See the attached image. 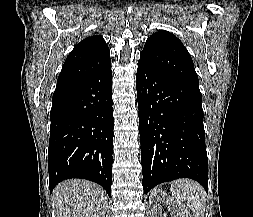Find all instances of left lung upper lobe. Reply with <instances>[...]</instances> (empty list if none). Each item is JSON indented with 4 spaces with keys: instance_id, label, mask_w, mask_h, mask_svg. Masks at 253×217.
Here are the masks:
<instances>
[{
    "instance_id": "left-lung-upper-lobe-1",
    "label": "left lung upper lobe",
    "mask_w": 253,
    "mask_h": 217,
    "mask_svg": "<svg viewBox=\"0 0 253 217\" xmlns=\"http://www.w3.org/2000/svg\"><path fill=\"white\" fill-rule=\"evenodd\" d=\"M140 57L164 73L199 87L192 58L181 41L172 33L161 30L152 34L147 39Z\"/></svg>"
}]
</instances>
